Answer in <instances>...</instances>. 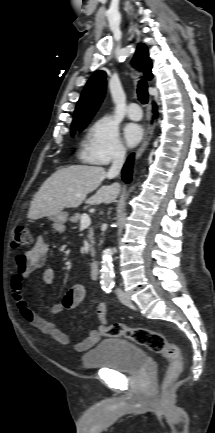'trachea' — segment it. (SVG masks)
I'll list each match as a JSON object with an SVG mask.
<instances>
[{
    "label": "trachea",
    "instance_id": "trachea-1",
    "mask_svg": "<svg viewBox=\"0 0 215 433\" xmlns=\"http://www.w3.org/2000/svg\"><path fill=\"white\" fill-rule=\"evenodd\" d=\"M147 82L144 78L139 80L137 87L138 99L141 103L146 104L148 102V90Z\"/></svg>",
    "mask_w": 215,
    "mask_h": 433
}]
</instances>
